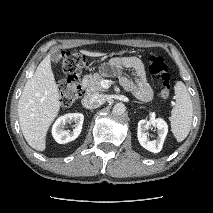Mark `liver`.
<instances>
[{
    "label": "liver",
    "mask_w": 213,
    "mask_h": 213,
    "mask_svg": "<svg viewBox=\"0 0 213 213\" xmlns=\"http://www.w3.org/2000/svg\"><path fill=\"white\" fill-rule=\"evenodd\" d=\"M86 56L103 53L81 50ZM60 96L51 69L50 55L38 65L34 75L27 80L18 104V117L23 136L37 151L46 149L47 131L60 110Z\"/></svg>",
    "instance_id": "obj_1"
}]
</instances>
